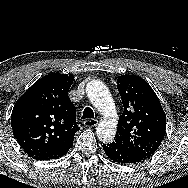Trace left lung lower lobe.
Returning a JSON list of instances; mask_svg holds the SVG:
<instances>
[{"mask_svg": "<svg viewBox=\"0 0 188 188\" xmlns=\"http://www.w3.org/2000/svg\"><path fill=\"white\" fill-rule=\"evenodd\" d=\"M105 154L113 161L118 163L132 164L144 161L145 157L130 149L124 148L116 143L103 144Z\"/></svg>", "mask_w": 188, "mask_h": 188, "instance_id": "0a47b994", "label": "left lung lower lobe"}]
</instances>
